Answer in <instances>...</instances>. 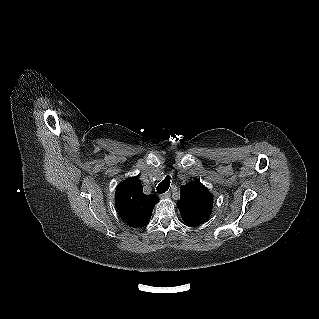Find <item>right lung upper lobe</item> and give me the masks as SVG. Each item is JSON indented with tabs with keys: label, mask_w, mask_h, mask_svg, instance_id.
Masks as SVG:
<instances>
[{
	"label": "right lung upper lobe",
	"mask_w": 319,
	"mask_h": 319,
	"mask_svg": "<svg viewBox=\"0 0 319 319\" xmlns=\"http://www.w3.org/2000/svg\"><path fill=\"white\" fill-rule=\"evenodd\" d=\"M158 201L155 194L143 193L142 184L137 177L121 182L115 192L117 212L123 221L133 228L144 227L149 223Z\"/></svg>",
	"instance_id": "obj_1"
}]
</instances>
